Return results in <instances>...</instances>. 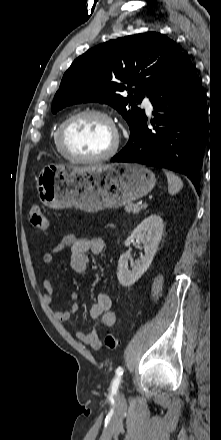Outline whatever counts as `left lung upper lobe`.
<instances>
[{"mask_svg":"<svg viewBox=\"0 0 221 440\" xmlns=\"http://www.w3.org/2000/svg\"><path fill=\"white\" fill-rule=\"evenodd\" d=\"M181 55L174 41L156 32L100 44L79 56L65 72L52 112L81 102L107 103L122 114L132 134L145 117L135 103H141L144 94L151 96ZM123 91H128L127 98L120 95Z\"/></svg>","mask_w":221,"mask_h":440,"instance_id":"5c2ea615","label":"left lung upper lobe"}]
</instances>
